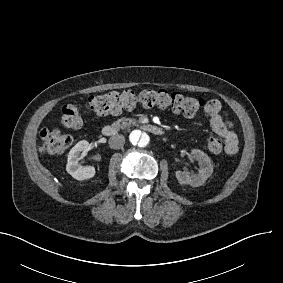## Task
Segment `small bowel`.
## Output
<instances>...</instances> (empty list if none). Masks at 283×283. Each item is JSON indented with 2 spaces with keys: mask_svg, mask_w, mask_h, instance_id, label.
<instances>
[{
  "mask_svg": "<svg viewBox=\"0 0 283 283\" xmlns=\"http://www.w3.org/2000/svg\"><path fill=\"white\" fill-rule=\"evenodd\" d=\"M204 111L209 118L214 133L224 137L227 141L225 154L228 156L235 155L239 150L238 137L231 121L222 114L221 102L217 99L209 100L204 107Z\"/></svg>",
  "mask_w": 283,
  "mask_h": 283,
  "instance_id": "1",
  "label": "small bowel"
}]
</instances>
